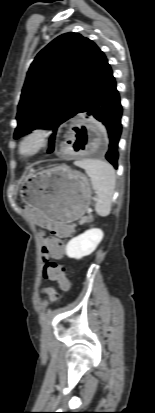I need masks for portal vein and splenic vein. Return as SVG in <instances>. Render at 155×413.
I'll return each instance as SVG.
<instances>
[{
	"instance_id": "obj_1",
	"label": "portal vein and splenic vein",
	"mask_w": 155,
	"mask_h": 413,
	"mask_svg": "<svg viewBox=\"0 0 155 413\" xmlns=\"http://www.w3.org/2000/svg\"><path fill=\"white\" fill-rule=\"evenodd\" d=\"M91 211H92V210L89 208V209H88V212H91Z\"/></svg>"
}]
</instances>
